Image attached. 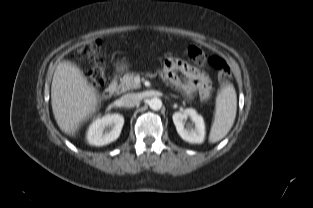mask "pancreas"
Here are the masks:
<instances>
[{
  "label": "pancreas",
  "mask_w": 313,
  "mask_h": 208,
  "mask_svg": "<svg viewBox=\"0 0 313 208\" xmlns=\"http://www.w3.org/2000/svg\"><path fill=\"white\" fill-rule=\"evenodd\" d=\"M136 74L135 73H126L122 78H120V84L116 89L117 94L124 93L131 89H138L140 88V84L134 82ZM154 76V75H152Z\"/></svg>",
  "instance_id": "1"
}]
</instances>
